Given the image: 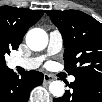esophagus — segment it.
<instances>
[{
    "label": "esophagus",
    "mask_w": 102,
    "mask_h": 102,
    "mask_svg": "<svg viewBox=\"0 0 102 102\" xmlns=\"http://www.w3.org/2000/svg\"><path fill=\"white\" fill-rule=\"evenodd\" d=\"M52 80H54L53 75H51V74H44V80H43L44 84H49Z\"/></svg>",
    "instance_id": "34e87169"
}]
</instances>
